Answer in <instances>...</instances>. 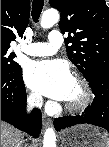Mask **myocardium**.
<instances>
[{
    "label": "myocardium",
    "mask_w": 109,
    "mask_h": 147,
    "mask_svg": "<svg viewBox=\"0 0 109 147\" xmlns=\"http://www.w3.org/2000/svg\"><path fill=\"white\" fill-rule=\"evenodd\" d=\"M72 77L73 79L78 81L80 85L82 86L84 90V96H83V99L77 104H71L66 102L65 108L66 110L70 112L78 113L85 110L91 104L94 94H93V90L90 83L83 75L75 73L73 74Z\"/></svg>",
    "instance_id": "obj_1"
}]
</instances>
